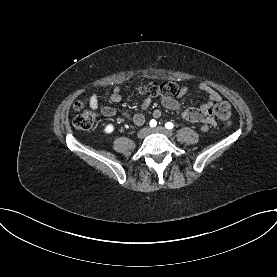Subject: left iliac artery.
Listing matches in <instances>:
<instances>
[{
  "label": "left iliac artery",
  "instance_id": "left-iliac-artery-1",
  "mask_svg": "<svg viewBox=\"0 0 277 277\" xmlns=\"http://www.w3.org/2000/svg\"><path fill=\"white\" fill-rule=\"evenodd\" d=\"M165 127H166L167 129H172V128L174 127V125H173V123H171V122H167V123L165 124Z\"/></svg>",
  "mask_w": 277,
  "mask_h": 277
}]
</instances>
